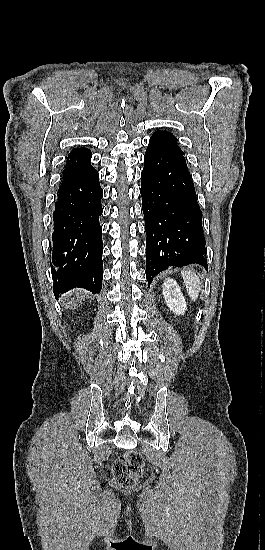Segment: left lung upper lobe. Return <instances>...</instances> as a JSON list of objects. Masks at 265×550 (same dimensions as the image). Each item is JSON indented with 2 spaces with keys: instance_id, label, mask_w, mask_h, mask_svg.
I'll use <instances>...</instances> for the list:
<instances>
[{
  "instance_id": "left-lung-upper-lobe-1",
  "label": "left lung upper lobe",
  "mask_w": 265,
  "mask_h": 550,
  "mask_svg": "<svg viewBox=\"0 0 265 550\" xmlns=\"http://www.w3.org/2000/svg\"><path fill=\"white\" fill-rule=\"evenodd\" d=\"M150 141L156 142L160 145L169 147L173 150H176L184 154L177 144V138L168 131H162V130L155 131V133H153V135L151 136Z\"/></svg>"
}]
</instances>
